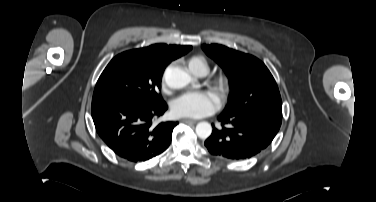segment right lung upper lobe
I'll return each mask as SVG.
<instances>
[{
  "instance_id": "obj_1",
  "label": "right lung upper lobe",
  "mask_w": 376,
  "mask_h": 202,
  "mask_svg": "<svg viewBox=\"0 0 376 202\" xmlns=\"http://www.w3.org/2000/svg\"><path fill=\"white\" fill-rule=\"evenodd\" d=\"M191 46L154 44L135 51L145 59L152 72H163L164 68L174 59L186 54Z\"/></svg>"
}]
</instances>
